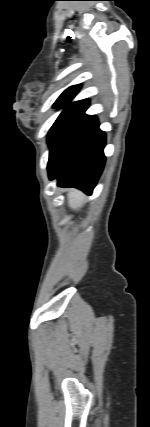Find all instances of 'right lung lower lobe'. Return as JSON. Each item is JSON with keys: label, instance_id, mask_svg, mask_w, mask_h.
Instances as JSON below:
<instances>
[{"label": "right lung lower lobe", "instance_id": "98d812e1", "mask_svg": "<svg viewBox=\"0 0 150 427\" xmlns=\"http://www.w3.org/2000/svg\"><path fill=\"white\" fill-rule=\"evenodd\" d=\"M85 110L70 123L60 136L48 162L50 180L60 187H76L91 194L103 170L105 134L95 116Z\"/></svg>", "mask_w": 150, "mask_h": 427}]
</instances>
